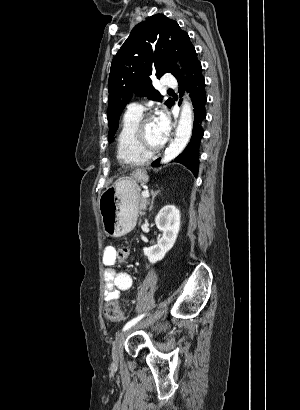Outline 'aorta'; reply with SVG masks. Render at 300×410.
<instances>
[{
    "label": "aorta",
    "mask_w": 300,
    "mask_h": 410,
    "mask_svg": "<svg viewBox=\"0 0 300 410\" xmlns=\"http://www.w3.org/2000/svg\"><path fill=\"white\" fill-rule=\"evenodd\" d=\"M192 127L193 109L192 104L189 101V97L186 95V98H184L182 104L181 115L176 129L175 138L165 150L164 156L161 160L162 163H167L173 160L184 150L191 138Z\"/></svg>",
    "instance_id": "1"
}]
</instances>
